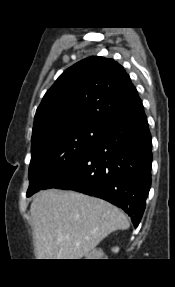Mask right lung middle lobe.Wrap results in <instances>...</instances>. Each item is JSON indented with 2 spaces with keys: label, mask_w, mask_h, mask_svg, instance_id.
<instances>
[{
  "label": "right lung middle lobe",
  "mask_w": 175,
  "mask_h": 287,
  "mask_svg": "<svg viewBox=\"0 0 175 287\" xmlns=\"http://www.w3.org/2000/svg\"><path fill=\"white\" fill-rule=\"evenodd\" d=\"M107 127L100 123L68 125L32 141L27 197L84 157L105 135Z\"/></svg>",
  "instance_id": "1"
}]
</instances>
